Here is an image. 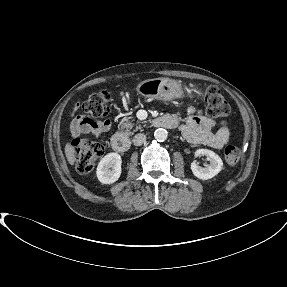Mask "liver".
I'll list each match as a JSON object with an SVG mask.
<instances>
[{
    "label": "liver",
    "instance_id": "liver-1",
    "mask_svg": "<svg viewBox=\"0 0 287 287\" xmlns=\"http://www.w3.org/2000/svg\"><path fill=\"white\" fill-rule=\"evenodd\" d=\"M65 155L67 157L68 162L71 165H74V162L76 160V153L75 148L70 143H67L65 146Z\"/></svg>",
    "mask_w": 287,
    "mask_h": 287
}]
</instances>
